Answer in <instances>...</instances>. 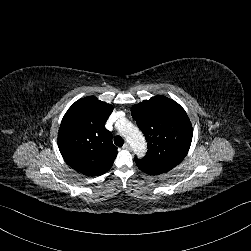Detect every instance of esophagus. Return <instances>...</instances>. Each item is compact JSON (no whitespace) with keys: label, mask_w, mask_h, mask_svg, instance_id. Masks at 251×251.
Instances as JSON below:
<instances>
[{"label":"esophagus","mask_w":251,"mask_h":251,"mask_svg":"<svg viewBox=\"0 0 251 251\" xmlns=\"http://www.w3.org/2000/svg\"><path fill=\"white\" fill-rule=\"evenodd\" d=\"M123 148H124V149H128V150L131 149V147H130V145H129L128 142H125V143H124Z\"/></svg>","instance_id":"34e87169"}]
</instances>
